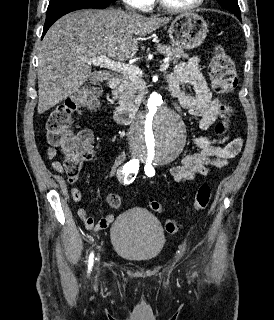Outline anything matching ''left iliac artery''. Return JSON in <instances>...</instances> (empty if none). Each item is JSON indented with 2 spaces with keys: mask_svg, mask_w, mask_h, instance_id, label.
I'll list each match as a JSON object with an SVG mask.
<instances>
[{
  "mask_svg": "<svg viewBox=\"0 0 274 320\" xmlns=\"http://www.w3.org/2000/svg\"><path fill=\"white\" fill-rule=\"evenodd\" d=\"M144 170L148 177H153L155 175V169L151 165V162H146Z\"/></svg>",
  "mask_w": 274,
  "mask_h": 320,
  "instance_id": "obj_1",
  "label": "left iliac artery"
}]
</instances>
